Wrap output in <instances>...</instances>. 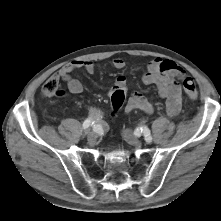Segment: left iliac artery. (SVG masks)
<instances>
[{"mask_svg": "<svg viewBox=\"0 0 221 221\" xmlns=\"http://www.w3.org/2000/svg\"><path fill=\"white\" fill-rule=\"evenodd\" d=\"M141 134L144 135V138H145L147 143L152 140L150 130L146 126L137 128L135 130V135L136 136H140Z\"/></svg>", "mask_w": 221, "mask_h": 221, "instance_id": "44dca946", "label": "left iliac artery"}]
</instances>
